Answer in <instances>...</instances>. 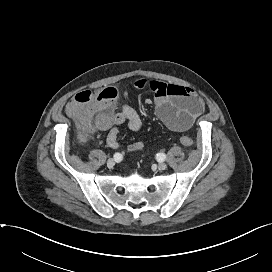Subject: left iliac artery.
<instances>
[{"instance_id":"44dca946","label":"left iliac artery","mask_w":272,"mask_h":272,"mask_svg":"<svg viewBox=\"0 0 272 272\" xmlns=\"http://www.w3.org/2000/svg\"><path fill=\"white\" fill-rule=\"evenodd\" d=\"M157 159L159 161H164L166 159V155L164 153H158L157 154Z\"/></svg>"}]
</instances>
